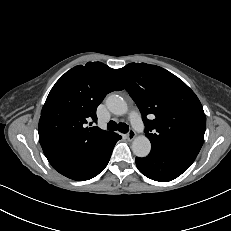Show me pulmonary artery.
Listing matches in <instances>:
<instances>
[{
  "label": "pulmonary artery",
  "instance_id": "1",
  "mask_svg": "<svg viewBox=\"0 0 231 231\" xmlns=\"http://www.w3.org/2000/svg\"><path fill=\"white\" fill-rule=\"evenodd\" d=\"M130 120L135 130L141 131L144 128V124L140 118V115L137 112H133L130 115Z\"/></svg>",
  "mask_w": 231,
  "mask_h": 231
}]
</instances>
